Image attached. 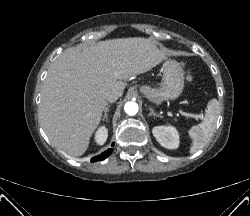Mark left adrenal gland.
Segmentation results:
<instances>
[{"instance_id":"a2214340","label":"left adrenal gland","mask_w":250,"mask_h":216,"mask_svg":"<svg viewBox=\"0 0 250 216\" xmlns=\"http://www.w3.org/2000/svg\"><path fill=\"white\" fill-rule=\"evenodd\" d=\"M149 110H150L149 116H155V117L162 118V116L160 114H157L151 107H149Z\"/></svg>"}]
</instances>
